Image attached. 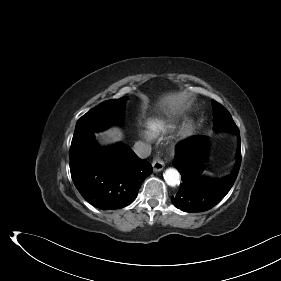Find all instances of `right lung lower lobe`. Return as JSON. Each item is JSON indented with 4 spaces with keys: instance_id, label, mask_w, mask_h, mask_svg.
<instances>
[{
    "instance_id": "1",
    "label": "right lung lower lobe",
    "mask_w": 281,
    "mask_h": 281,
    "mask_svg": "<svg viewBox=\"0 0 281 281\" xmlns=\"http://www.w3.org/2000/svg\"><path fill=\"white\" fill-rule=\"evenodd\" d=\"M70 172L75 187L87 202L110 210L135 200L142 182L152 173V166L125 144L99 147L91 131L73 137Z\"/></svg>"
}]
</instances>
